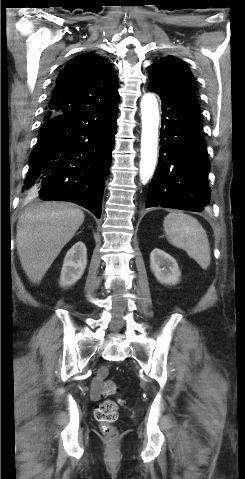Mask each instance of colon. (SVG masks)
<instances>
[{
	"instance_id": "colon-1",
	"label": "colon",
	"mask_w": 245,
	"mask_h": 479,
	"mask_svg": "<svg viewBox=\"0 0 245 479\" xmlns=\"http://www.w3.org/2000/svg\"><path fill=\"white\" fill-rule=\"evenodd\" d=\"M104 394L112 395L118 392V386L113 380H107L103 387ZM120 403L122 401L120 400ZM95 418L101 424L103 432L113 437L115 435V429L113 424L118 417V404L113 400H106L100 403L95 409Z\"/></svg>"
}]
</instances>
